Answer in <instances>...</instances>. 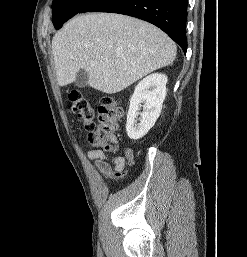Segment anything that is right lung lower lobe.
Segmentation results:
<instances>
[{"label": "right lung lower lobe", "instance_id": "1", "mask_svg": "<svg viewBox=\"0 0 247 257\" xmlns=\"http://www.w3.org/2000/svg\"><path fill=\"white\" fill-rule=\"evenodd\" d=\"M188 0H92L79 13L110 12L140 18L166 32L186 53Z\"/></svg>", "mask_w": 247, "mask_h": 257}]
</instances>
